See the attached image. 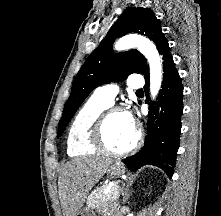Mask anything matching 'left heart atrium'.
<instances>
[{
  "mask_svg": "<svg viewBox=\"0 0 221 216\" xmlns=\"http://www.w3.org/2000/svg\"><path fill=\"white\" fill-rule=\"evenodd\" d=\"M125 115H126V118H127L128 122H129V124L132 127H135L133 116L130 113H125Z\"/></svg>",
  "mask_w": 221,
  "mask_h": 216,
  "instance_id": "left-heart-atrium-1",
  "label": "left heart atrium"
}]
</instances>
